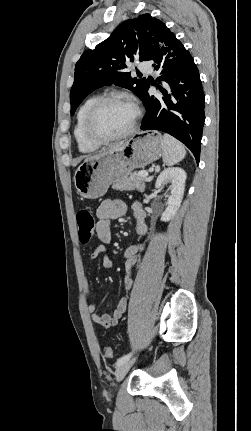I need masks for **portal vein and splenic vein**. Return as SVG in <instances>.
Wrapping results in <instances>:
<instances>
[{
	"label": "portal vein and splenic vein",
	"instance_id": "18ae733b",
	"mask_svg": "<svg viewBox=\"0 0 251 431\" xmlns=\"http://www.w3.org/2000/svg\"><path fill=\"white\" fill-rule=\"evenodd\" d=\"M139 176L147 178L148 177V173L147 172H140Z\"/></svg>",
	"mask_w": 251,
	"mask_h": 431
}]
</instances>
